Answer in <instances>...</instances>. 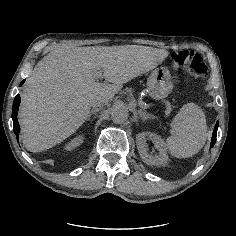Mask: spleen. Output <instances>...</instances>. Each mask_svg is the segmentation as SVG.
<instances>
[{"label": "spleen", "mask_w": 236, "mask_h": 236, "mask_svg": "<svg viewBox=\"0 0 236 236\" xmlns=\"http://www.w3.org/2000/svg\"><path fill=\"white\" fill-rule=\"evenodd\" d=\"M173 135L167 139V147L176 157H190L198 153L207 139L206 117L195 103L182 106L171 122Z\"/></svg>", "instance_id": "3e777b00"}]
</instances>
